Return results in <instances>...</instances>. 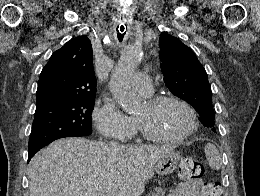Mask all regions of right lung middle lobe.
I'll use <instances>...</instances> for the list:
<instances>
[{
    "mask_svg": "<svg viewBox=\"0 0 260 196\" xmlns=\"http://www.w3.org/2000/svg\"><path fill=\"white\" fill-rule=\"evenodd\" d=\"M95 97V93L78 94L36 106L29 151L59 138L90 135Z\"/></svg>",
    "mask_w": 260,
    "mask_h": 196,
    "instance_id": "1",
    "label": "right lung middle lobe"
}]
</instances>
